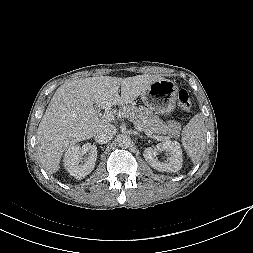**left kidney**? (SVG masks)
Wrapping results in <instances>:
<instances>
[{"label": "left kidney", "mask_w": 253, "mask_h": 253, "mask_svg": "<svg viewBox=\"0 0 253 253\" xmlns=\"http://www.w3.org/2000/svg\"><path fill=\"white\" fill-rule=\"evenodd\" d=\"M162 151L170 155L166 162H160L157 158ZM143 156L151 167L160 172H177L182 168V150L177 141H165L157 144L155 148L148 147Z\"/></svg>", "instance_id": "left-kidney-1"}]
</instances>
